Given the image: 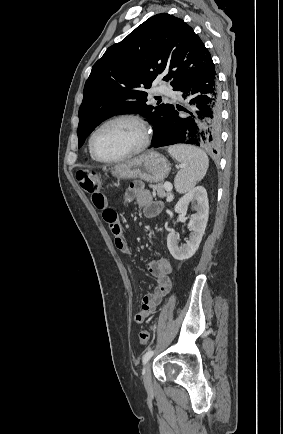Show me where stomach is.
Wrapping results in <instances>:
<instances>
[{
    "label": "stomach",
    "mask_w": 283,
    "mask_h": 434,
    "mask_svg": "<svg viewBox=\"0 0 283 434\" xmlns=\"http://www.w3.org/2000/svg\"><path fill=\"white\" fill-rule=\"evenodd\" d=\"M169 172L168 161L163 155L155 151H149L111 169V174L116 178H140L150 183L162 182L169 175Z\"/></svg>",
    "instance_id": "0dacf381"
}]
</instances>
